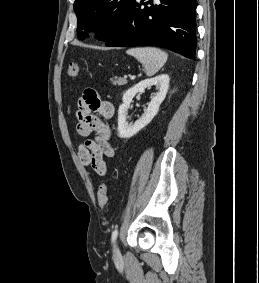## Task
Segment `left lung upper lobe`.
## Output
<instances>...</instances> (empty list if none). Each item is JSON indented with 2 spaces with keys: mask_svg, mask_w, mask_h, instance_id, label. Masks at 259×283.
Instances as JSON below:
<instances>
[{
  "mask_svg": "<svg viewBox=\"0 0 259 283\" xmlns=\"http://www.w3.org/2000/svg\"><path fill=\"white\" fill-rule=\"evenodd\" d=\"M134 0H75L77 35L84 40L89 32L108 41L124 22Z\"/></svg>",
  "mask_w": 259,
  "mask_h": 283,
  "instance_id": "left-lung-upper-lobe-1",
  "label": "left lung upper lobe"
}]
</instances>
